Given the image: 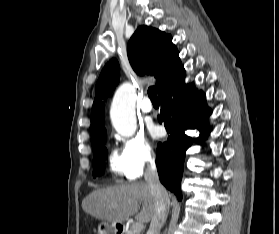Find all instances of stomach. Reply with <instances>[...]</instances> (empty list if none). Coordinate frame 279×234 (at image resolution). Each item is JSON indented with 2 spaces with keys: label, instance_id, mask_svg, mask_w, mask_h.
I'll return each mask as SVG.
<instances>
[{
  "label": "stomach",
  "instance_id": "obj_1",
  "mask_svg": "<svg viewBox=\"0 0 279 234\" xmlns=\"http://www.w3.org/2000/svg\"><path fill=\"white\" fill-rule=\"evenodd\" d=\"M118 225L119 223L101 222L98 225V234H118L120 231Z\"/></svg>",
  "mask_w": 279,
  "mask_h": 234
}]
</instances>
